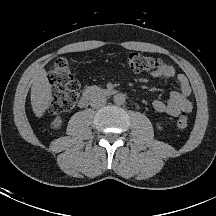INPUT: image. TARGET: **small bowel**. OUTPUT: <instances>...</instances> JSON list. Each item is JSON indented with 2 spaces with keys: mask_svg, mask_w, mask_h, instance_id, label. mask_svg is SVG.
I'll use <instances>...</instances> for the list:
<instances>
[{
  "mask_svg": "<svg viewBox=\"0 0 216 216\" xmlns=\"http://www.w3.org/2000/svg\"><path fill=\"white\" fill-rule=\"evenodd\" d=\"M152 76L160 78L165 82L174 79L179 86L178 90L170 93L168 101L154 100L152 103L154 110L174 117L192 111L193 104L189 99L192 88L184 74L176 73L172 65L162 63L159 70L152 72Z\"/></svg>",
  "mask_w": 216,
  "mask_h": 216,
  "instance_id": "obj_1",
  "label": "small bowel"
}]
</instances>
